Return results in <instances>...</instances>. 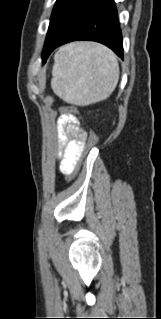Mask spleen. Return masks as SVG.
Segmentation results:
<instances>
[{
	"instance_id": "3e777b00",
	"label": "spleen",
	"mask_w": 161,
	"mask_h": 319,
	"mask_svg": "<svg viewBox=\"0 0 161 319\" xmlns=\"http://www.w3.org/2000/svg\"><path fill=\"white\" fill-rule=\"evenodd\" d=\"M51 87L65 102L86 106L108 98L119 79V65L107 47L89 42L67 44L55 55Z\"/></svg>"
}]
</instances>
